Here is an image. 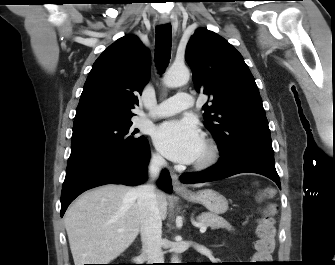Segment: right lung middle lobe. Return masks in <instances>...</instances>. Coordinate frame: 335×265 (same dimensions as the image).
Listing matches in <instances>:
<instances>
[{"mask_svg":"<svg viewBox=\"0 0 335 265\" xmlns=\"http://www.w3.org/2000/svg\"><path fill=\"white\" fill-rule=\"evenodd\" d=\"M132 122H99L73 127L69 159L88 153L130 154L147 141L130 129Z\"/></svg>","mask_w":335,"mask_h":265,"instance_id":"right-lung-middle-lobe-1","label":"right lung middle lobe"}]
</instances>
